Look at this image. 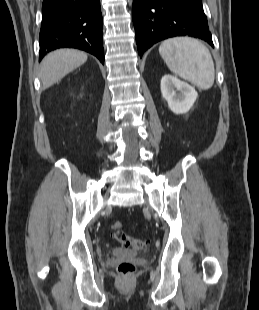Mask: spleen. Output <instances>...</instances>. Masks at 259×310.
<instances>
[{"label":"spleen","instance_id":"1","mask_svg":"<svg viewBox=\"0 0 259 310\" xmlns=\"http://www.w3.org/2000/svg\"><path fill=\"white\" fill-rule=\"evenodd\" d=\"M159 53L168 68L202 90L212 87L214 62L209 49L199 40L176 37L163 41Z\"/></svg>","mask_w":259,"mask_h":310}]
</instances>
